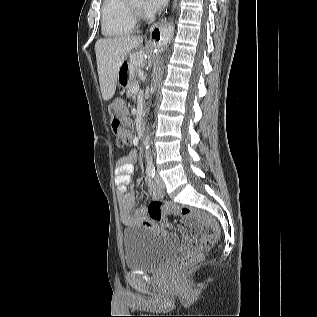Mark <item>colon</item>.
I'll return each mask as SVG.
<instances>
[{"label":"colon","mask_w":317,"mask_h":317,"mask_svg":"<svg viewBox=\"0 0 317 317\" xmlns=\"http://www.w3.org/2000/svg\"><path fill=\"white\" fill-rule=\"evenodd\" d=\"M110 125L119 146L131 143V123L127 109L122 100H114L108 106ZM147 213L153 221H161L165 214L172 213L181 216L186 221L194 219L205 222L206 226L199 239L193 241L189 249L178 259L176 270L184 272L199 263L204 254L218 241L219 231L216 222L206 214L197 210L180 206L168 201H153L147 208Z\"/></svg>","instance_id":"obj_1"}]
</instances>
